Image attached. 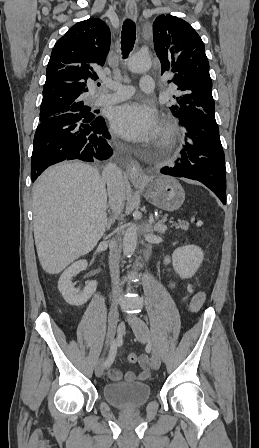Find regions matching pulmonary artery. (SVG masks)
<instances>
[{
  "mask_svg": "<svg viewBox=\"0 0 259 448\" xmlns=\"http://www.w3.org/2000/svg\"><path fill=\"white\" fill-rule=\"evenodd\" d=\"M144 54L146 55V53H144ZM139 55L140 54L133 53L130 55V57L128 59V65H129L130 69L137 73L144 72V69H142L141 67L136 65L134 62L135 58ZM144 78H149V77L144 76ZM102 88H108V89H111L114 91H121V90H123V91L112 93L109 95H100L96 100V104L120 102V101H123V100L131 97L133 94V90L130 87L124 86V85H122L116 81H112V80H104L101 83V87L98 88V93H101Z\"/></svg>",
  "mask_w": 259,
  "mask_h": 448,
  "instance_id": "e3ab8cb5",
  "label": "pulmonary artery"
}]
</instances>
